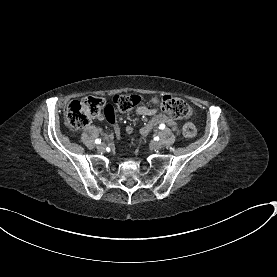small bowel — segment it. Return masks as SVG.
I'll list each match as a JSON object with an SVG mask.
<instances>
[{"mask_svg":"<svg viewBox=\"0 0 277 277\" xmlns=\"http://www.w3.org/2000/svg\"><path fill=\"white\" fill-rule=\"evenodd\" d=\"M134 114L151 117L148 125L142 130L143 134H148L152 127L160 123H164L169 127H171L173 130L178 131V125L176 121L165 114L159 113L158 110L155 108H150L146 105H139L134 110ZM130 130H131L130 128H127V131H130ZM115 134L119 136L120 131L118 128H115Z\"/></svg>","mask_w":277,"mask_h":277,"instance_id":"c3829d8e","label":"small bowel"}]
</instances>
